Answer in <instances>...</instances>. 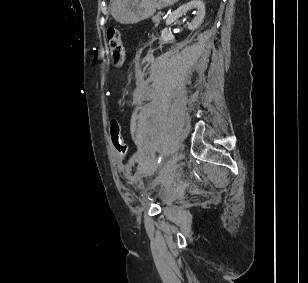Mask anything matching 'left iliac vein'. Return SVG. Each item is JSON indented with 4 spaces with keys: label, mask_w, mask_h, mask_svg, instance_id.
<instances>
[{
    "label": "left iliac vein",
    "mask_w": 308,
    "mask_h": 283,
    "mask_svg": "<svg viewBox=\"0 0 308 283\" xmlns=\"http://www.w3.org/2000/svg\"><path fill=\"white\" fill-rule=\"evenodd\" d=\"M183 157H184V155H183L182 152L176 153L171 158V160L163 167L161 173L155 179L153 186H156V185L162 183L163 181H165L170 176V174L175 170L178 162L181 161L183 159Z\"/></svg>",
    "instance_id": "left-iliac-vein-1"
}]
</instances>
